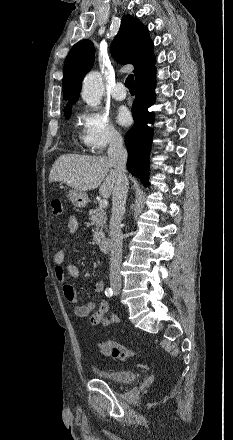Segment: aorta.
Instances as JSON below:
<instances>
[{
  "label": "aorta",
  "mask_w": 233,
  "mask_h": 440,
  "mask_svg": "<svg viewBox=\"0 0 233 440\" xmlns=\"http://www.w3.org/2000/svg\"><path fill=\"white\" fill-rule=\"evenodd\" d=\"M104 90L103 79L100 73L90 72L84 79L81 97L91 107L101 103Z\"/></svg>",
  "instance_id": "1"
}]
</instances>
